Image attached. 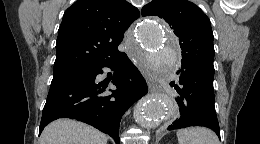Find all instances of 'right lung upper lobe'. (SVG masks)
<instances>
[{
	"instance_id": "1",
	"label": "right lung upper lobe",
	"mask_w": 260,
	"mask_h": 144,
	"mask_svg": "<svg viewBox=\"0 0 260 144\" xmlns=\"http://www.w3.org/2000/svg\"><path fill=\"white\" fill-rule=\"evenodd\" d=\"M140 12L126 0H77L64 13L53 71L71 70L116 56Z\"/></svg>"
}]
</instances>
